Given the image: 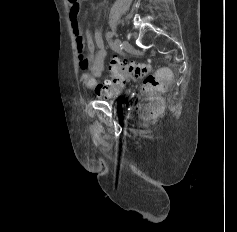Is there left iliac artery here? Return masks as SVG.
Here are the masks:
<instances>
[{
	"label": "left iliac artery",
	"mask_w": 237,
	"mask_h": 232,
	"mask_svg": "<svg viewBox=\"0 0 237 232\" xmlns=\"http://www.w3.org/2000/svg\"><path fill=\"white\" fill-rule=\"evenodd\" d=\"M113 35H114V34H113L112 32H107V33H106V37H107V38H112Z\"/></svg>",
	"instance_id": "obj_1"
}]
</instances>
